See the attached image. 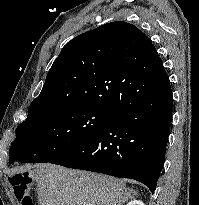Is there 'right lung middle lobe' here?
Instances as JSON below:
<instances>
[{
  "mask_svg": "<svg viewBox=\"0 0 199 205\" xmlns=\"http://www.w3.org/2000/svg\"><path fill=\"white\" fill-rule=\"evenodd\" d=\"M112 119V111L90 105L57 104L29 108L16 129L9 163L51 162L99 133Z\"/></svg>",
  "mask_w": 199,
  "mask_h": 205,
  "instance_id": "1",
  "label": "right lung middle lobe"
}]
</instances>
